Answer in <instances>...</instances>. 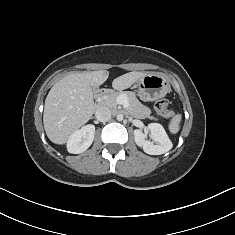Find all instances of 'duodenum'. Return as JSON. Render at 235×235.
I'll return each mask as SVG.
<instances>
[{"instance_id": "1", "label": "duodenum", "mask_w": 235, "mask_h": 235, "mask_svg": "<svg viewBox=\"0 0 235 235\" xmlns=\"http://www.w3.org/2000/svg\"><path fill=\"white\" fill-rule=\"evenodd\" d=\"M108 93H109L108 89H100V90L97 91L96 98L99 99V98H101L102 96H104Z\"/></svg>"}]
</instances>
